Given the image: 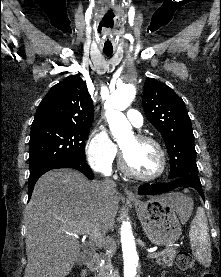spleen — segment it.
Instances as JSON below:
<instances>
[{"label": "spleen", "mask_w": 221, "mask_h": 277, "mask_svg": "<svg viewBox=\"0 0 221 277\" xmlns=\"http://www.w3.org/2000/svg\"><path fill=\"white\" fill-rule=\"evenodd\" d=\"M189 236L193 255L202 265L209 266L211 244L207 218L202 209L197 210L196 216L191 222Z\"/></svg>", "instance_id": "spleen-1"}]
</instances>
